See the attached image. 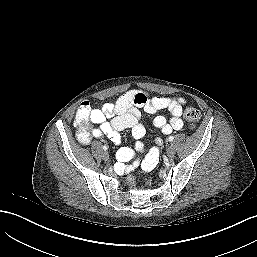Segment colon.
Returning <instances> with one entry per match:
<instances>
[{"instance_id": "obj_1", "label": "colon", "mask_w": 257, "mask_h": 257, "mask_svg": "<svg viewBox=\"0 0 257 257\" xmlns=\"http://www.w3.org/2000/svg\"><path fill=\"white\" fill-rule=\"evenodd\" d=\"M90 105L89 102L84 101L80 104L79 107V123L81 125L88 124V119L90 115ZM184 119L186 120L188 127L190 130H193L199 119H200V111L197 108L194 107H188L184 110ZM131 185H134L133 182L130 181Z\"/></svg>"}]
</instances>
